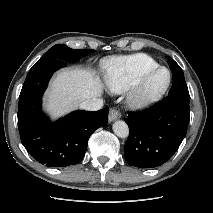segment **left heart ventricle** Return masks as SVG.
Listing matches in <instances>:
<instances>
[{
	"label": "left heart ventricle",
	"instance_id": "obj_1",
	"mask_svg": "<svg viewBox=\"0 0 213 213\" xmlns=\"http://www.w3.org/2000/svg\"><path fill=\"white\" fill-rule=\"evenodd\" d=\"M167 72L160 71L158 72L149 82L148 89L151 91L158 90L161 88L167 81Z\"/></svg>",
	"mask_w": 213,
	"mask_h": 213
}]
</instances>
